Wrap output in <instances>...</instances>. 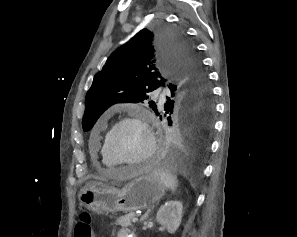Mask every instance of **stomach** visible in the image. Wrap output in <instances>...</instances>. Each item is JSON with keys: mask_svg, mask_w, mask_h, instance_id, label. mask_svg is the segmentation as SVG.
Wrapping results in <instances>:
<instances>
[{"mask_svg": "<svg viewBox=\"0 0 297 237\" xmlns=\"http://www.w3.org/2000/svg\"><path fill=\"white\" fill-rule=\"evenodd\" d=\"M166 190L155 173H148L131 180L121 189L86 186L81 190L79 200L82 206L96 212H133L153 206Z\"/></svg>", "mask_w": 297, "mask_h": 237, "instance_id": "1", "label": "stomach"}]
</instances>
